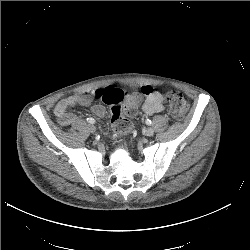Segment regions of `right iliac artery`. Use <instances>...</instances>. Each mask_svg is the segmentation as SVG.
<instances>
[{
	"mask_svg": "<svg viewBox=\"0 0 250 250\" xmlns=\"http://www.w3.org/2000/svg\"><path fill=\"white\" fill-rule=\"evenodd\" d=\"M86 120H87L89 123H91V124H94V123L96 122L95 119L90 118V117H88Z\"/></svg>",
	"mask_w": 250,
	"mask_h": 250,
	"instance_id": "obj_1",
	"label": "right iliac artery"
}]
</instances>
